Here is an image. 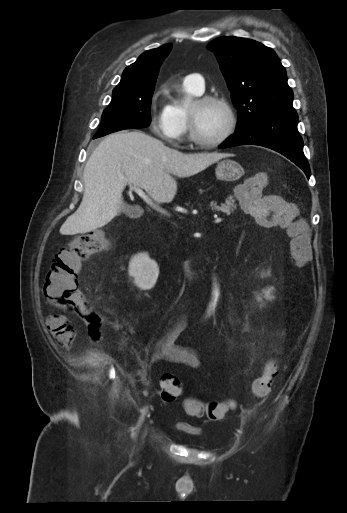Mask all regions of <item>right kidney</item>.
<instances>
[{"mask_svg":"<svg viewBox=\"0 0 347 513\" xmlns=\"http://www.w3.org/2000/svg\"><path fill=\"white\" fill-rule=\"evenodd\" d=\"M129 275L134 278L137 287L149 290L157 281L159 267L154 260L149 258L148 254L142 253L130 261Z\"/></svg>","mask_w":347,"mask_h":513,"instance_id":"right-kidney-1","label":"right kidney"}]
</instances>
